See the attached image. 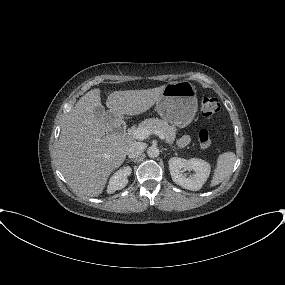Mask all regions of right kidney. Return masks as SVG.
<instances>
[{
  "mask_svg": "<svg viewBox=\"0 0 285 285\" xmlns=\"http://www.w3.org/2000/svg\"><path fill=\"white\" fill-rule=\"evenodd\" d=\"M131 171V167L126 166L115 172L109 180V184L107 186V193L111 194L114 193L116 190L123 189L128 183L127 177L131 174Z\"/></svg>",
  "mask_w": 285,
  "mask_h": 285,
  "instance_id": "ca27d5eb",
  "label": "right kidney"
}]
</instances>
